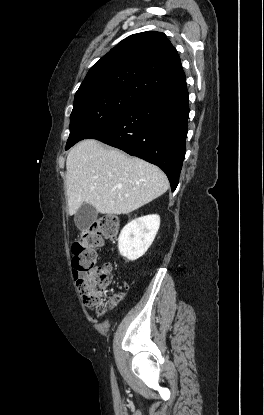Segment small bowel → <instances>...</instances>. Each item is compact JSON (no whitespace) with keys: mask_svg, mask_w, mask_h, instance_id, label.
Here are the masks:
<instances>
[{"mask_svg":"<svg viewBox=\"0 0 264 415\" xmlns=\"http://www.w3.org/2000/svg\"><path fill=\"white\" fill-rule=\"evenodd\" d=\"M74 277H75V279H78V275L77 274H74Z\"/></svg>","mask_w":264,"mask_h":415,"instance_id":"1","label":"small bowel"}]
</instances>
